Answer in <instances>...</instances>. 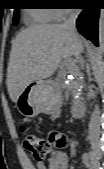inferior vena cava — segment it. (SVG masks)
I'll use <instances>...</instances> for the list:
<instances>
[{
    "label": "inferior vena cava",
    "mask_w": 104,
    "mask_h": 169,
    "mask_svg": "<svg viewBox=\"0 0 104 169\" xmlns=\"http://www.w3.org/2000/svg\"><path fill=\"white\" fill-rule=\"evenodd\" d=\"M79 11L78 9H74L70 15L67 21L63 24L65 28L70 30L73 34H77L76 30V19L78 17ZM86 68L89 70V64L86 62ZM91 97L95 98L96 94L94 91H91ZM99 138H100V110L99 107L96 106L91 117H90V122H89V139H90V144L93 148L99 147Z\"/></svg>",
    "instance_id": "obj_1"
}]
</instances>
